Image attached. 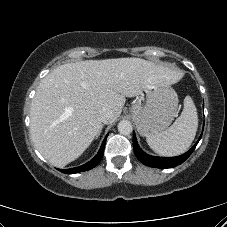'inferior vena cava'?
Returning a JSON list of instances; mask_svg holds the SVG:
<instances>
[{
    "instance_id": "1",
    "label": "inferior vena cava",
    "mask_w": 227,
    "mask_h": 227,
    "mask_svg": "<svg viewBox=\"0 0 227 227\" xmlns=\"http://www.w3.org/2000/svg\"><path fill=\"white\" fill-rule=\"evenodd\" d=\"M112 117H113V112L111 110L104 108L101 111V121L104 124H108L110 122V120L112 119Z\"/></svg>"
}]
</instances>
